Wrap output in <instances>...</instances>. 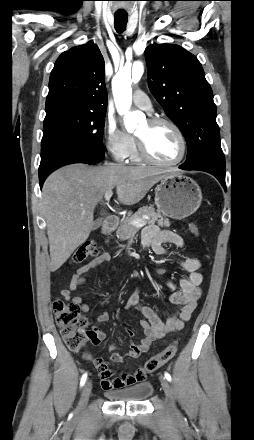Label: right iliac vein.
<instances>
[{
  "label": "right iliac vein",
  "mask_w": 254,
  "mask_h": 440,
  "mask_svg": "<svg viewBox=\"0 0 254 440\" xmlns=\"http://www.w3.org/2000/svg\"><path fill=\"white\" fill-rule=\"evenodd\" d=\"M91 389H92V384L90 381H87L81 391V397L77 408L78 414H82L86 409Z\"/></svg>",
  "instance_id": "right-iliac-vein-1"
}]
</instances>
